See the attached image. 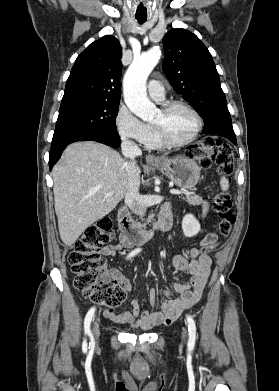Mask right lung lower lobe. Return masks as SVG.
<instances>
[{
	"label": "right lung lower lobe",
	"instance_id": "98d812e1",
	"mask_svg": "<svg viewBox=\"0 0 279 391\" xmlns=\"http://www.w3.org/2000/svg\"><path fill=\"white\" fill-rule=\"evenodd\" d=\"M82 140L98 141L106 145L112 146L114 148L118 147L121 142L118 136V131L115 128L93 129L63 139L53 140L51 144L50 154H49L50 170L52 169L54 164L58 161L63 150L66 148L68 144L75 141H82Z\"/></svg>",
	"mask_w": 279,
	"mask_h": 391
}]
</instances>
